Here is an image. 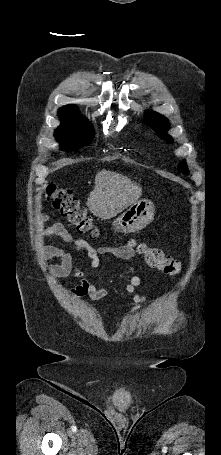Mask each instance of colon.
Wrapping results in <instances>:
<instances>
[{
	"label": "colon",
	"mask_w": 221,
	"mask_h": 455,
	"mask_svg": "<svg viewBox=\"0 0 221 455\" xmlns=\"http://www.w3.org/2000/svg\"><path fill=\"white\" fill-rule=\"evenodd\" d=\"M46 196L54 209L73 224L79 233L86 234L92 238L101 236L93 218L70 189L50 184L46 188ZM136 249L151 268L161 270L169 275H175L181 269V263L177 259L166 255L160 248L140 243L136 245Z\"/></svg>",
	"instance_id": "5ec220e1"
}]
</instances>
